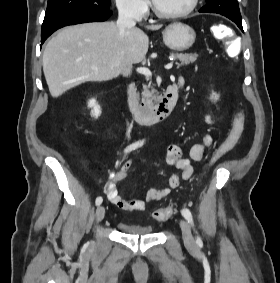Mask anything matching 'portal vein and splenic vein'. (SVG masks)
I'll return each mask as SVG.
<instances>
[{"label":"portal vein and splenic vein","mask_w":280,"mask_h":283,"mask_svg":"<svg viewBox=\"0 0 280 283\" xmlns=\"http://www.w3.org/2000/svg\"><path fill=\"white\" fill-rule=\"evenodd\" d=\"M173 67V62H170L168 64L165 65V69L169 70ZM137 72L142 74V75H145L146 77H150L152 75L151 71L146 68V67H139L137 69Z\"/></svg>","instance_id":"1"}]
</instances>
